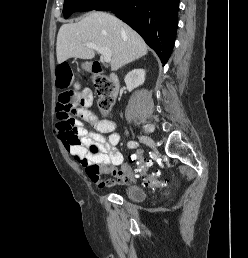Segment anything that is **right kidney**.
Returning <instances> with one entry per match:
<instances>
[{
    "label": "right kidney",
    "instance_id": "ca27d5eb",
    "mask_svg": "<svg viewBox=\"0 0 248 258\" xmlns=\"http://www.w3.org/2000/svg\"><path fill=\"white\" fill-rule=\"evenodd\" d=\"M145 80V71L143 69H134L125 76V84L129 92L142 85Z\"/></svg>",
    "mask_w": 248,
    "mask_h": 258
}]
</instances>
